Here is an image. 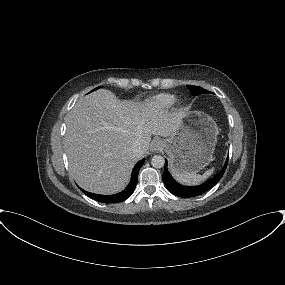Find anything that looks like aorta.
Returning a JSON list of instances; mask_svg holds the SVG:
<instances>
[{
  "mask_svg": "<svg viewBox=\"0 0 285 285\" xmlns=\"http://www.w3.org/2000/svg\"><path fill=\"white\" fill-rule=\"evenodd\" d=\"M165 164V160L161 155H154L151 159V165L154 168H162Z\"/></svg>",
  "mask_w": 285,
  "mask_h": 285,
  "instance_id": "aorta-1",
  "label": "aorta"
}]
</instances>
